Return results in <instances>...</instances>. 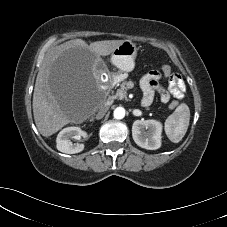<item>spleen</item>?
I'll return each instance as SVG.
<instances>
[{"instance_id": "3e777b00", "label": "spleen", "mask_w": 227, "mask_h": 227, "mask_svg": "<svg viewBox=\"0 0 227 227\" xmlns=\"http://www.w3.org/2000/svg\"><path fill=\"white\" fill-rule=\"evenodd\" d=\"M190 121V110L186 104H180L165 121V132L168 138L178 143L184 137Z\"/></svg>"}]
</instances>
